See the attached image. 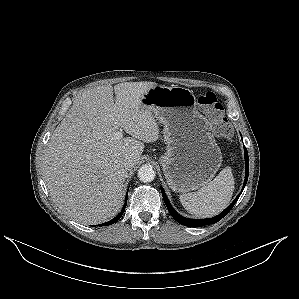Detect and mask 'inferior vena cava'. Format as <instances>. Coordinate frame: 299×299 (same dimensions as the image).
<instances>
[{"instance_id":"obj_1","label":"inferior vena cava","mask_w":299,"mask_h":299,"mask_svg":"<svg viewBox=\"0 0 299 299\" xmlns=\"http://www.w3.org/2000/svg\"><path fill=\"white\" fill-rule=\"evenodd\" d=\"M132 164V159L130 157H126L122 161V165L124 168H128Z\"/></svg>"}]
</instances>
